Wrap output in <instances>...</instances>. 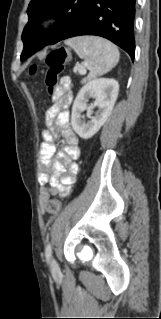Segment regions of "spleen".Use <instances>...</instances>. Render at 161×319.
Returning <instances> with one entry per match:
<instances>
[{"label":"spleen","instance_id":"1","mask_svg":"<svg viewBox=\"0 0 161 319\" xmlns=\"http://www.w3.org/2000/svg\"><path fill=\"white\" fill-rule=\"evenodd\" d=\"M67 44L84 59L89 75L82 80L86 83L110 71L119 61V51L110 41L101 37L82 36L70 39Z\"/></svg>","mask_w":161,"mask_h":319}]
</instances>
